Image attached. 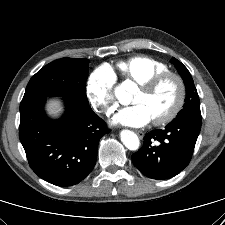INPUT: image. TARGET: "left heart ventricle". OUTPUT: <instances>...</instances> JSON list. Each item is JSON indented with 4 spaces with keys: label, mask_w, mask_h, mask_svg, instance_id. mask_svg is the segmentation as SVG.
<instances>
[{
    "label": "left heart ventricle",
    "mask_w": 225,
    "mask_h": 225,
    "mask_svg": "<svg viewBox=\"0 0 225 225\" xmlns=\"http://www.w3.org/2000/svg\"><path fill=\"white\" fill-rule=\"evenodd\" d=\"M177 87L173 80H166L154 92L147 93L139 88L133 103L143 104L149 110L152 119L163 115L173 104Z\"/></svg>",
    "instance_id": "left-heart-ventricle-1"
}]
</instances>
